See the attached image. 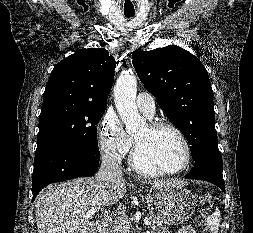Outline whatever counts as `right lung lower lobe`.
<instances>
[{
    "label": "right lung lower lobe",
    "instance_id": "obj_1",
    "mask_svg": "<svg viewBox=\"0 0 253 233\" xmlns=\"http://www.w3.org/2000/svg\"><path fill=\"white\" fill-rule=\"evenodd\" d=\"M99 160L100 154L65 144L50 143L37 148L32 175V201L50 183L94 175Z\"/></svg>",
    "mask_w": 253,
    "mask_h": 233
}]
</instances>
